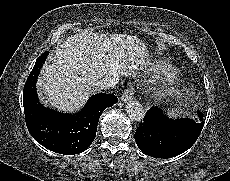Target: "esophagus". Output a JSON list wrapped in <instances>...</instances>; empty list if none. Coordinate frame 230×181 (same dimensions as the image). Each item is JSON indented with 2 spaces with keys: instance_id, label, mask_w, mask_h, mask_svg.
Returning a JSON list of instances; mask_svg holds the SVG:
<instances>
[{
  "instance_id": "1",
  "label": "esophagus",
  "mask_w": 230,
  "mask_h": 181,
  "mask_svg": "<svg viewBox=\"0 0 230 181\" xmlns=\"http://www.w3.org/2000/svg\"><path fill=\"white\" fill-rule=\"evenodd\" d=\"M135 89L133 87L127 88L121 96V101L127 103L134 97Z\"/></svg>"
}]
</instances>
